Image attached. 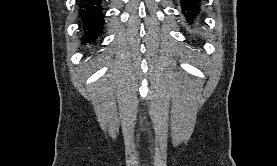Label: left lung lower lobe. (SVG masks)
<instances>
[{"label":"left lung lower lobe","instance_id":"obj_1","mask_svg":"<svg viewBox=\"0 0 277 166\" xmlns=\"http://www.w3.org/2000/svg\"><path fill=\"white\" fill-rule=\"evenodd\" d=\"M182 14L188 24H195L200 14L199 0H181Z\"/></svg>","mask_w":277,"mask_h":166}]
</instances>
